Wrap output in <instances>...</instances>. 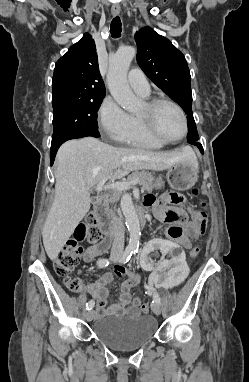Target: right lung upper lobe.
I'll list each match as a JSON object with an SVG mask.
<instances>
[{
	"instance_id": "1",
	"label": "right lung upper lobe",
	"mask_w": 249,
	"mask_h": 382,
	"mask_svg": "<svg viewBox=\"0 0 249 382\" xmlns=\"http://www.w3.org/2000/svg\"><path fill=\"white\" fill-rule=\"evenodd\" d=\"M52 88L53 106L105 96L95 43L89 34H84L82 39L57 61Z\"/></svg>"
}]
</instances>
